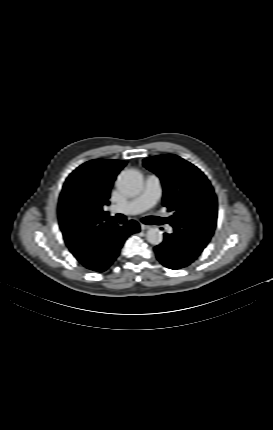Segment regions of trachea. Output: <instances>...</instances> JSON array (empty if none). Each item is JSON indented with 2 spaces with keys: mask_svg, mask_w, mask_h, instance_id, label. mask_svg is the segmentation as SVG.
Returning <instances> with one entry per match:
<instances>
[{
  "mask_svg": "<svg viewBox=\"0 0 273 430\" xmlns=\"http://www.w3.org/2000/svg\"><path fill=\"white\" fill-rule=\"evenodd\" d=\"M116 221L119 222L120 224H125L126 223V217L122 214H117L116 215ZM142 222L144 224H147V225H154V224L163 223V219H161L159 217L149 216V217L143 218Z\"/></svg>",
  "mask_w": 273,
  "mask_h": 430,
  "instance_id": "obj_1",
  "label": "trachea"
}]
</instances>
